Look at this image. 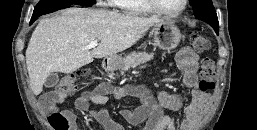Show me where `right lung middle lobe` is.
Here are the masks:
<instances>
[{
	"mask_svg": "<svg viewBox=\"0 0 257 130\" xmlns=\"http://www.w3.org/2000/svg\"><path fill=\"white\" fill-rule=\"evenodd\" d=\"M94 2L95 0H40L34 9L32 19L36 20L42 14L56 11L71 4L91 7Z\"/></svg>",
	"mask_w": 257,
	"mask_h": 130,
	"instance_id": "right-lung-middle-lobe-1",
	"label": "right lung middle lobe"
}]
</instances>
